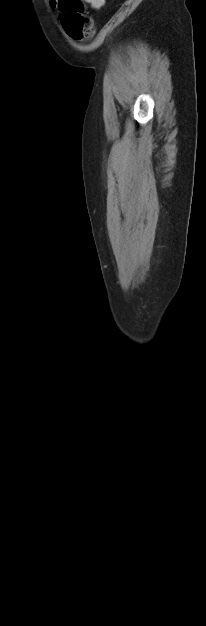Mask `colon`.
I'll return each mask as SVG.
<instances>
[{"label":"colon","instance_id":"5ec220e1","mask_svg":"<svg viewBox=\"0 0 206 626\" xmlns=\"http://www.w3.org/2000/svg\"><path fill=\"white\" fill-rule=\"evenodd\" d=\"M84 0H58L61 22L67 33L78 40H89L95 32L93 20L84 12Z\"/></svg>","mask_w":206,"mask_h":626}]
</instances>
